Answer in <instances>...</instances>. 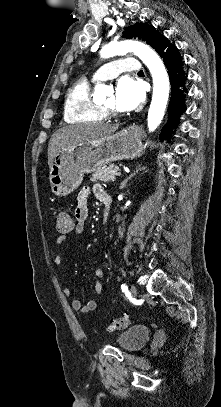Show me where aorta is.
Returning a JSON list of instances; mask_svg holds the SVG:
<instances>
[{
	"label": "aorta",
	"mask_w": 221,
	"mask_h": 407,
	"mask_svg": "<svg viewBox=\"0 0 221 407\" xmlns=\"http://www.w3.org/2000/svg\"><path fill=\"white\" fill-rule=\"evenodd\" d=\"M134 52L142 62L148 67L153 79V95L148 111V129L153 132L160 125L169 97V78L165 66L157 55L148 45L135 41L123 40L120 42H111L104 46L100 52L102 58H110L116 55ZM111 92V89L103 84H97L94 89V99H104Z\"/></svg>",
	"instance_id": "obj_1"
}]
</instances>
